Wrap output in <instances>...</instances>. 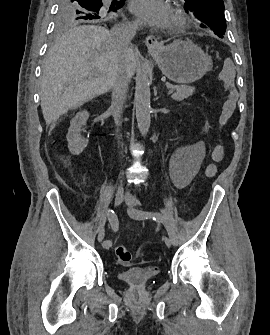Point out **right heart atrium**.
<instances>
[{
	"mask_svg": "<svg viewBox=\"0 0 270 335\" xmlns=\"http://www.w3.org/2000/svg\"><path fill=\"white\" fill-rule=\"evenodd\" d=\"M122 25H135L133 22H127V23H124Z\"/></svg>",
	"mask_w": 270,
	"mask_h": 335,
	"instance_id": "obj_1",
	"label": "right heart atrium"
}]
</instances>
